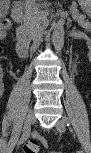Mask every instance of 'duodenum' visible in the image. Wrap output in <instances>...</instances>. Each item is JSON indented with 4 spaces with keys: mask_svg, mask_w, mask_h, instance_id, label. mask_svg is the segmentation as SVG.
Wrapping results in <instances>:
<instances>
[{
    "mask_svg": "<svg viewBox=\"0 0 91 153\" xmlns=\"http://www.w3.org/2000/svg\"><path fill=\"white\" fill-rule=\"evenodd\" d=\"M24 19V9L22 7H18L15 11V21L18 25L15 31V44L16 52L22 58H26L30 53L29 44L25 40L23 34Z\"/></svg>",
    "mask_w": 91,
    "mask_h": 153,
    "instance_id": "1",
    "label": "duodenum"
}]
</instances>
